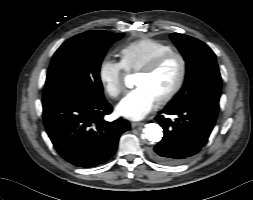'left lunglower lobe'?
Instances as JSON below:
<instances>
[{
    "label": "left lung lower lobe",
    "instance_id": "left-lung-lower-lobe-1",
    "mask_svg": "<svg viewBox=\"0 0 253 200\" xmlns=\"http://www.w3.org/2000/svg\"><path fill=\"white\" fill-rule=\"evenodd\" d=\"M219 111V102L200 100L186 106H166L156 121L164 130L162 140L150 150L155 161L176 165L197 154L208 141ZM166 115V116H165ZM168 115H175L171 120Z\"/></svg>",
    "mask_w": 253,
    "mask_h": 200
}]
</instances>
